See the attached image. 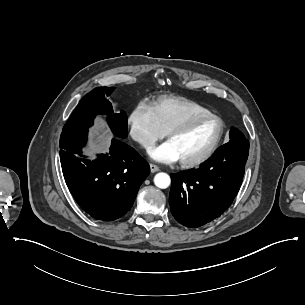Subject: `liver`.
<instances>
[{"label": "liver", "instance_id": "1", "mask_svg": "<svg viewBox=\"0 0 305 305\" xmlns=\"http://www.w3.org/2000/svg\"><path fill=\"white\" fill-rule=\"evenodd\" d=\"M106 127L107 125L101 117L96 118L95 126L90 129L89 133L90 148L84 150V153L89 157L95 158V152H105L108 149L112 139V134L109 133V130L106 129ZM93 138L96 139L98 145L92 142Z\"/></svg>", "mask_w": 305, "mask_h": 305}]
</instances>
